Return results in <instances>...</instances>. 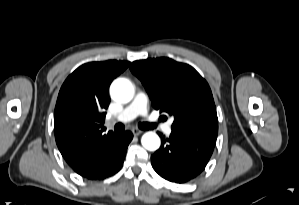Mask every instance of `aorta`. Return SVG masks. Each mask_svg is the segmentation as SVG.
<instances>
[{
  "label": "aorta",
  "mask_w": 299,
  "mask_h": 205,
  "mask_svg": "<svg viewBox=\"0 0 299 205\" xmlns=\"http://www.w3.org/2000/svg\"><path fill=\"white\" fill-rule=\"evenodd\" d=\"M111 97L121 103H127L133 98L134 89L131 82L124 78L116 79L110 87ZM143 147L155 151L160 147L159 136L154 132H147L141 138Z\"/></svg>",
  "instance_id": "762f6f07"
}]
</instances>
